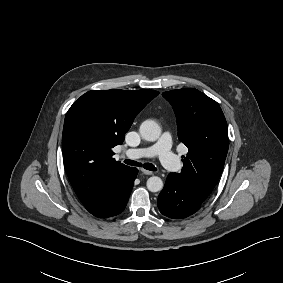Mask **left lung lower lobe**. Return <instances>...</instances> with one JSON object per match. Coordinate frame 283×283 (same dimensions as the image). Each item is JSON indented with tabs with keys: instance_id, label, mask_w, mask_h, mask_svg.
Listing matches in <instances>:
<instances>
[{
	"instance_id": "left-lung-lower-lobe-1",
	"label": "left lung lower lobe",
	"mask_w": 283,
	"mask_h": 283,
	"mask_svg": "<svg viewBox=\"0 0 283 283\" xmlns=\"http://www.w3.org/2000/svg\"><path fill=\"white\" fill-rule=\"evenodd\" d=\"M203 202L190 192L175 173H170L158 197V208L169 218H185L198 211Z\"/></svg>"
}]
</instances>
